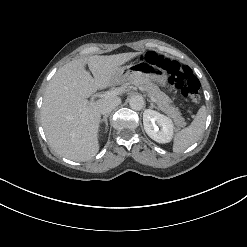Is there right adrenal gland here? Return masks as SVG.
Listing matches in <instances>:
<instances>
[{"label": "right adrenal gland", "mask_w": 247, "mask_h": 247, "mask_svg": "<svg viewBox=\"0 0 247 247\" xmlns=\"http://www.w3.org/2000/svg\"><path fill=\"white\" fill-rule=\"evenodd\" d=\"M107 118H108V115H105V116H103V118H102V120H101V122H104V123H105V125H106L105 129H106V130H107V127H108Z\"/></svg>", "instance_id": "2a0ac1e0"}]
</instances>
